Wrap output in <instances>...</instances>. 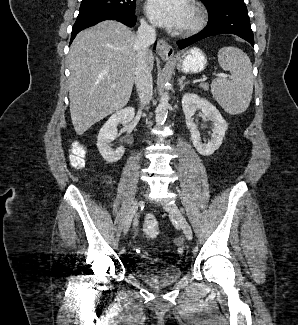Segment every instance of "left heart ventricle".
Segmentation results:
<instances>
[{
    "label": "left heart ventricle",
    "mask_w": 298,
    "mask_h": 325,
    "mask_svg": "<svg viewBox=\"0 0 298 325\" xmlns=\"http://www.w3.org/2000/svg\"><path fill=\"white\" fill-rule=\"evenodd\" d=\"M192 20H193L192 13L190 11L189 6L187 5L185 23L181 30L187 28L192 23Z\"/></svg>",
    "instance_id": "obj_1"
}]
</instances>
